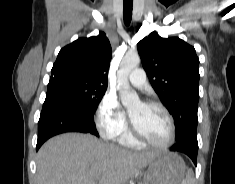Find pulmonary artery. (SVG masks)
Returning a JSON list of instances; mask_svg holds the SVG:
<instances>
[{
    "instance_id": "obj_1",
    "label": "pulmonary artery",
    "mask_w": 235,
    "mask_h": 184,
    "mask_svg": "<svg viewBox=\"0 0 235 184\" xmlns=\"http://www.w3.org/2000/svg\"><path fill=\"white\" fill-rule=\"evenodd\" d=\"M128 81L134 87L142 89L147 84V75L146 72L142 69H135L131 71L127 76Z\"/></svg>"
}]
</instances>
